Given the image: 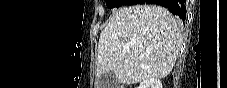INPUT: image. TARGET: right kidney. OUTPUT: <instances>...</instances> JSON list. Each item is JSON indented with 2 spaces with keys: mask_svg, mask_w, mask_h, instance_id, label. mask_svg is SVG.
Instances as JSON below:
<instances>
[{
  "mask_svg": "<svg viewBox=\"0 0 227 88\" xmlns=\"http://www.w3.org/2000/svg\"><path fill=\"white\" fill-rule=\"evenodd\" d=\"M162 83L157 78H150L142 81L138 88H162Z\"/></svg>",
  "mask_w": 227,
  "mask_h": 88,
  "instance_id": "obj_1",
  "label": "right kidney"
}]
</instances>
